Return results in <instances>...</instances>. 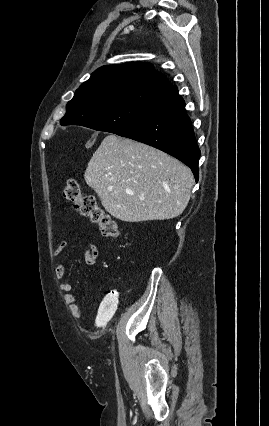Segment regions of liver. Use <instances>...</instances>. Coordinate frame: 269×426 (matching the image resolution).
<instances>
[{
    "instance_id": "6515ba94",
    "label": "liver",
    "mask_w": 269,
    "mask_h": 426,
    "mask_svg": "<svg viewBox=\"0 0 269 426\" xmlns=\"http://www.w3.org/2000/svg\"><path fill=\"white\" fill-rule=\"evenodd\" d=\"M84 179L105 210L125 222L178 217L194 184L191 170L177 159L114 134L103 139Z\"/></svg>"
}]
</instances>
